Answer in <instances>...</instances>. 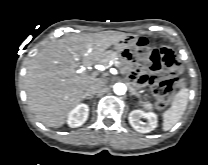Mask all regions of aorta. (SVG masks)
I'll return each instance as SVG.
<instances>
[{
    "label": "aorta",
    "instance_id": "1",
    "mask_svg": "<svg viewBox=\"0 0 208 165\" xmlns=\"http://www.w3.org/2000/svg\"><path fill=\"white\" fill-rule=\"evenodd\" d=\"M114 93L117 95H124L127 91V87L124 83H116L113 86Z\"/></svg>",
    "mask_w": 208,
    "mask_h": 165
}]
</instances>
